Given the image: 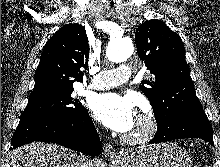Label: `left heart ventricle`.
I'll use <instances>...</instances> for the list:
<instances>
[{"mask_svg": "<svg viewBox=\"0 0 220 167\" xmlns=\"http://www.w3.org/2000/svg\"><path fill=\"white\" fill-rule=\"evenodd\" d=\"M141 127H142V123H141L139 117H137L134 126H133L132 129L128 132V134H133V133L138 132V131L141 129Z\"/></svg>", "mask_w": 220, "mask_h": 167, "instance_id": "left-heart-ventricle-1", "label": "left heart ventricle"}]
</instances>
